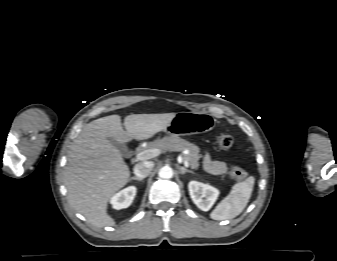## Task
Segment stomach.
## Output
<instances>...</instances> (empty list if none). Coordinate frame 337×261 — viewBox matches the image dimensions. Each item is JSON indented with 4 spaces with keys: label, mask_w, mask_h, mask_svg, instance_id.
<instances>
[{
    "label": "stomach",
    "mask_w": 337,
    "mask_h": 261,
    "mask_svg": "<svg viewBox=\"0 0 337 261\" xmlns=\"http://www.w3.org/2000/svg\"><path fill=\"white\" fill-rule=\"evenodd\" d=\"M214 125L215 120L208 113L178 112L163 131L171 136H186L209 132Z\"/></svg>",
    "instance_id": "stomach-1"
}]
</instances>
